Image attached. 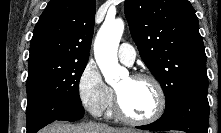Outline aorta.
<instances>
[{"label": "aorta", "instance_id": "obj_1", "mask_svg": "<svg viewBox=\"0 0 221 133\" xmlns=\"http://www.w3.org/2000/svg\"><path fill=\"white\" fill-rule=\"evenodd\" d=\"M123 31L122 19L105 20L95 39V59L105 81L110 85L117 83L121 76L127 74V70L119 65L117 59V50Z\"/></svg>", "mask_w": 221, "mask_h": 133}]
</instances>
